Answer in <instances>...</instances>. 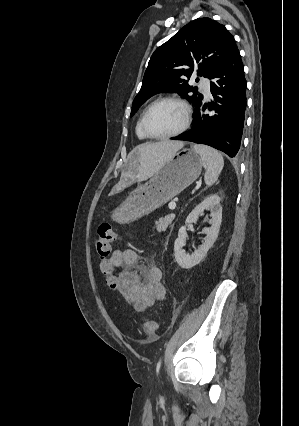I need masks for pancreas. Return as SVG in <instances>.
<instances>
[{
  "label": "pancreas",
  "instance_id": "pancreas-1",
  "mask_svg": "<svg viewBox=\"0 0 299 426\" xmlns=\"http://www.w3.org/2000/svg\"><path fill=\"white\" fill-rule=\"evenodd\" d=\"M174 219L173 215H167L164 218H160L157 222H156V230L158 233L165 231L169 225H171L172 221Z\"/></svg>",
  "mask_w": 299,
  "mask_h": 426
}]
</instances>
